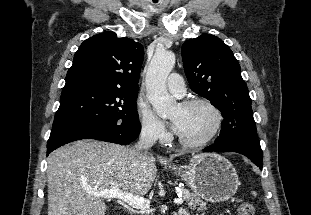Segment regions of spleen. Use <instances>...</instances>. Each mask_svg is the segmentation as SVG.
<instances>
[{
  "mask_svg": "<svg viewBox=\"0 0 311 215\" xmlns=\"http://www.w3.org/2000/svg\"><path fill=\"white\" fill-rule=\"evenodd\" d=\"M253 194H254V196H256V192L255 191L253 192Z\"/></svg>",
  "mask_w": 311,
  "mask_h": 215,
  "instance_id": "obj_1",
  "label": "spleen"
}]
</instances>
